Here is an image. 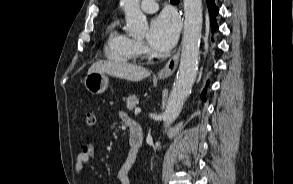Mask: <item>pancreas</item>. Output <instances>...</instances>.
Returning <instances> with one entry per match:
<instances>
[{"label": "pancreas", "instance_id": "obj_1", "mask_svg": "<svg viewBox=\"0 0 293 184\" xmlns=\"http://www.w3.org/2000/svg\"><path fill=\"white\" fill-rule=\"evenodd\" d=\"M138 103H139V100L135 95H129L126 98L127 109L129 110H132L133 108H135Z\"/></svg>", "mask_w": 293, "mask_h": 184}]
</instances>
